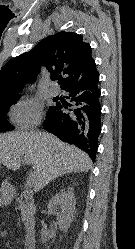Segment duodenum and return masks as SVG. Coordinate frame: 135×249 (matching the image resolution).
Returning <instances> with one entry per match:
<instances>
[{"mask_svg":"<svg viewBox=\"0 0 135 249\" xmlns=\"http://www.w3.org/2000/svg\"><path fill=\"white\" fill-rule=\"evenodd\" d=\"M22 195L24 196V198H28L29 197V193L26 190L22 192ZM29 235L30 236L28 238V247L32 249L35 246V239L32 236V227L31 226H29Z\"/></svg>","mask_w":135,"mask_h":249,"instance_id":"410a0bca","label":"duodenum"}]
</instances>
